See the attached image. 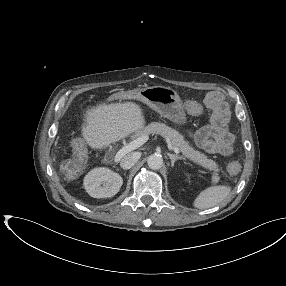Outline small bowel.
Masks as SVG:
<instances>
[{"label": "small bowel", "mask_w": 286, "mask_h": 286, "mask_svg": "<svg viewBox=\"0 0 286 286\" xmlns=\"http://www.w3.org/2000/svg\"><path fill=\"white\" fill-rule=\"evenodd\" d=\"M212 110V121L190 135L197 146L210 154L229 156L233 152L234 136L228 130L229 111L220 93L208 97ZM184 109L190 115L202 113L203 107L196 101H187Z\"/></svg>", "instance_id": "c3829d8e"}]
</instances>
